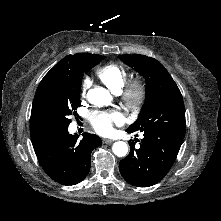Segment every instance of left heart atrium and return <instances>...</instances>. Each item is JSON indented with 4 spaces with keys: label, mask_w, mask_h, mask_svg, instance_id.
I'll use <instances>...</instances> for the list:
<instances>
[{
    "label": "left heart atrium",
    "mask_w": 221,
    "mask_h": 221,
    "mask_svg": "<svg viewBox=\"0 0 221 221\" xmlns=\"http://www.w3.org/2000/svg\"><path fill=\"white\" fill-rule=\"evenodd\" d=\"M89 121L96 132L102 135L110 134L115 124H121L122 115L117 111H92Z\"/></svg>",
    "instance_id": "obj_1"
}]
</instances>
